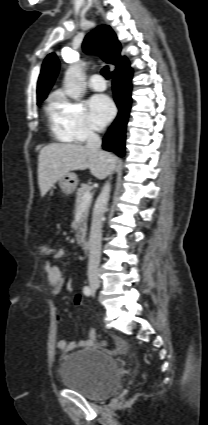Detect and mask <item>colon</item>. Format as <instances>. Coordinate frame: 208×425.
I'll use <instances>...</instances> for the list:
<instances>
[{
  "label": "colon",
  "instance_id": "1",
  "mask_svg": "<svg viewBox=\"0 0 208 425\" xmlns=\"http://www.w3.org/2000/svg\"><path fill=\"white\" fill-rule=\"evenodd\" d=\"M38 249H39V252L44 256L51 255L54 251L51 246L45 243L40 244ZM80 301H81L80 296L79 295L75 296V303L77 305L80 304ZM95 338L97 339L100 345L107 346V342L104 339H102L99 335H97Z\"/></svg>",
  "mask_w": 208,
  "mask_h": 425
}]
</instances>
